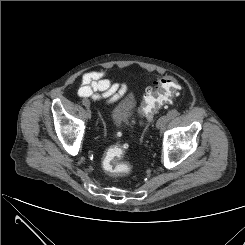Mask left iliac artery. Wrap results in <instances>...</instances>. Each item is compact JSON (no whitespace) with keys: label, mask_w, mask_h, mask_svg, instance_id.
<instances>
[{"label":"left iliac artery","mask_w":245,"mask_h":245,"mask_svg":"<svg viewBox=\"0 0 245 245\" xmlns=\"http://www.w3.org/2000/svg\"><path fill=\"white\" fill-rule=\"evenodd\" d=\"M177 114H178V111L176 109L169 111L167 114L168 120L173 119L174 117L177 116Z\"/></svg>","instance_id":"obj_1"}]
</instances>
